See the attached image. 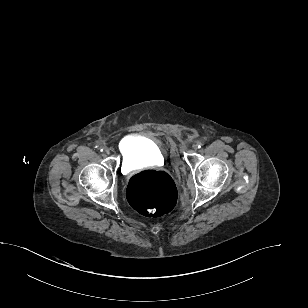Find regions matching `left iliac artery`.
Here are the masks:
<instances>
[{
  "label": "left iliac artery",
  "mask_w": 308,
  "mask_h": 308,
  "mask_svg": "<svg viewBox=\"0 0 308 308\" xmlns=\"http://www.w3.org/2000/svg\"><path fill=\"white\" fill-rule=\"evenodd\" d=\"M202 146H203V143H202V142H200V141L197 142V147H198V148H201Z\"/></svg>",
  "instance_id": "left-iliac-artery-1"
}]
</instances>
